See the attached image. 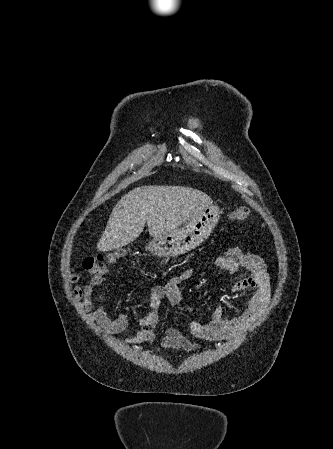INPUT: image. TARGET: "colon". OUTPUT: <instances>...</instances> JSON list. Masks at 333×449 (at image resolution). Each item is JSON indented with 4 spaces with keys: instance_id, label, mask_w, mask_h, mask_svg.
Masks as SVG:
<instances>
[{
    "instance_id": "1",
    "label": "colon",
    "mask_w": 333,
    "mask_h": 449,
    "mask_svg": "<svg viewBox=\"0 0 333 449\" xmlns=\"http://www.w3.org/2000/svg\"><path fill=\"white\" fill-rule=\"evenodd\" d=\"M249 216V210L246 207L235 209L229 214V219L233 221H242ZM125 252L118 250L100 255L88 256L83 261V268L91 274H104L109 265L121 258Z\"/></svg>"
}]
</instances>
